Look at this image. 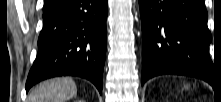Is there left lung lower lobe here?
<instances>
[{
  "mask_svg": "<svg viewBox=\"0 0 221 102\" xmlns=\"http://www.w3.org/2000/svg\"><path fill=\"white\" fill-rule=\"evenodd\" d=\"M142 23V76L197 77L213 83L212 41L203 0H139Z\"/></svg>",
  "mask_w": 221,
  "mask_h": 102,
  "instance_id": "1",
  "label": "left lung lower lobe"
}]
</instances>
